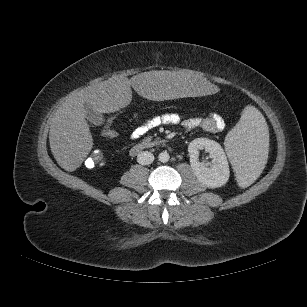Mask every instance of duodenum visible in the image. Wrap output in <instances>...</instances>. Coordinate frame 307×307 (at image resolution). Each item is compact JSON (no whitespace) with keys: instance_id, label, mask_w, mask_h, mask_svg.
<instances>
[{"instance_id":"1","label":"duodenum","mask_w":307,"mask_h":307,"mask_svg":"<svg viewBox=\"0 0 307 307\" xmlns=\"http://www.w3.org/2000/svg\"><path fill=\"white\" fill-rule=\"evenodd\" d=\"M160 144H161V141H159V140H154V141L153 140H144L142 142H139V143L133 145L130 149V153L133 156H135L145 149L154 148V147H157Z\"/></svg>"}]
</instances>
